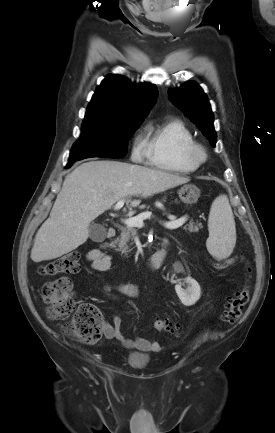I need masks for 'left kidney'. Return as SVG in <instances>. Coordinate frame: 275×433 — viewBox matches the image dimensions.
<instances>
[{
	"label": "left kidney",
	"instance_id": "5707ae66",
	"mask_svg": "<svg viewBox=\"0 0 275 433\" xmlns=\"http://www.w3.org/2000/svg\"><path fill=\"white\" fill-rule=\"evenodd\" d=\"M185 282L189 285L186 289H183L181 284H178L175 286V291L185 306H191L199 300L201 289L198 282L190 277L186 278Z\"/></svg>",
	"mask_w": 275,
	"mask_h": 433
}]
</instances>
